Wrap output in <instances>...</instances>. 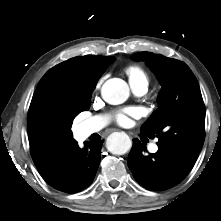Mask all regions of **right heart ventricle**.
<instances>
[{"label":"right heart ventricle","instance_id":"e07e8e85","mask_svg":"<svg viewBox=\"0 0 221 221\" xmlns=\"http://www.w3.org/2000/svg\"><path fill=\"white\" fill-rule=\"evenodd\" d=\"M126 73L129 77V81L138 82V81H147L148 76L144 69L138 65H130L126 68Z\"/></svg>","mask_w":221,"mask_h":221}]
</instances>
